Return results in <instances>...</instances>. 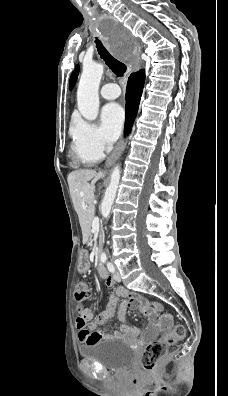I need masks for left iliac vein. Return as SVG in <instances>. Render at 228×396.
<instances>
[{
  "mask_svg": "<svg viewBox=\"0 0 228 396\" xmlns=\"http://www.w3.org/2000/svg\"><path fill=\"white\" fill-rule=\"evenodd\" d=\"M113 278L117 282L121 281V275H120V273L117 270L114 272Z\"/></svg>",
  "mask_w": 228,
  "mask_h": 396,
  "instance_id": "4c4485c4",
  "label": "left iliac vein"
}]
</instances>
